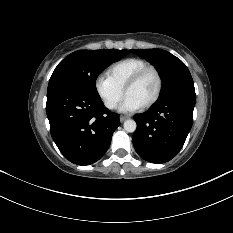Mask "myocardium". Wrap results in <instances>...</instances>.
I'll return each instance as SVG.
<instances>
[{
  "mask_svg": "<svg viewBox=\"0 0 233 233\" xmlns=\"http://www.w3.org/2000/svg\"><path fill=\"white\" fill-rule=\"evenodd\" d=\"M149 72H153L156 76L157 79V89L155 94L153 95V97L146 102L144 105H142L141 107L146 109L151 107L154 103L157 102V100L159 99L161 93H162V89H163V78L162 75L159 71V69L153 65H147L143 68H141L140 70H138L126 83L123 91L124 94L126 95L127 91L132 88L133 86H135L147 73Z\"/></svg>",
  "mask_w": 233,
  "mask_h": 233,
  "instance_id": "obj_1",
  "label": "myocardium"
}]
</instances>
